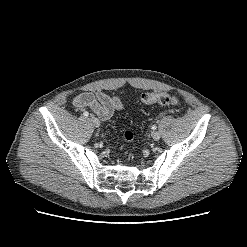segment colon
<instances>
[{"label": "colon", "mask_w": 247, "mask_h": 247, "mask_svg": "<svg viewBox=\"0 0 247 247\" xmlns=\"http://www.w3.org/2000/svg\"><path fill=\"white\" fill-rule=\"evenodd\" d=\"M141 100L146 105L160 104L175 106L179 103V98L167 92H147L142 94ZM124 140L131 144L133 142V133L131 131H125L123 133Z\"/></svg>", "instance_id": "5ec220e1"}]
</instances>
